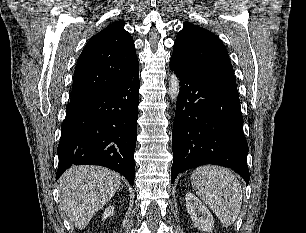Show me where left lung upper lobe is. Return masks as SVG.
<instances>
[{
  "instance_id": "5c2ea615",
  "label": "left lung upper lobe",
  "mask_w": 306,
  "mask_h": 233,
  "mask_svg": "<svg viewBox=\"0 0 306 233\" xmlns=\"http://www.w3.org/2000/svg\"><path fill=\"white\" fill-rule=\"evenodd\" d=\"M172 57L188 68L235 81L226 47L220 39L204 28L185 22L177 34Z\"/></svg>"
}]
</instances>
